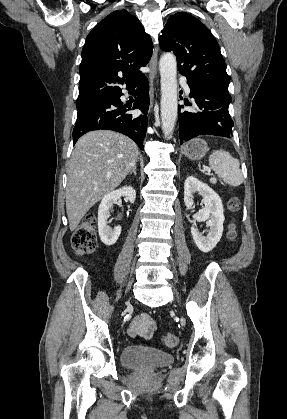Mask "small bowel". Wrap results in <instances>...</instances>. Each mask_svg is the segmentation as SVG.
Instances as JSON below:
<instances>
[{
    "mask_svg": "<svg viewBox=\"0 0 287 419\" xmlns=\"http://www.w3.org/2000/svg\"><path fill=\"white\" fill-rule=\"evenodd\" d=\"M156 323L153 318L147 313L137 315L129 326V333L131 336H139L145 339L152 337Z\"/></svg>",
    "mask_w": 287,
    "mask_h": 419,
    "instance_id": "obj_1",
    "label": "small bowel"
}]
</instances>
